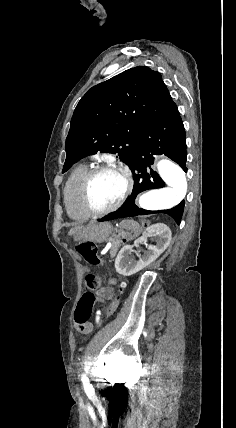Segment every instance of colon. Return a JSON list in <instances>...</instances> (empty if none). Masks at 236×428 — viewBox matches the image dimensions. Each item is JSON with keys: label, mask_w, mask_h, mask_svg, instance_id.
<instances>
[{"label": "colon", "mask_w": 236, "mask_h": 428, "mask_svg": "<svg viewBox=\"0 0 236 428\" xmlns=\"http://www.w3.org/2000/svg\"><path fill=\"white\" fill-rule=\"evenodd\" d=\"M76 248L89 264H102V260L98 256V249L95 243L89 241L80 242L77 244ZM84 286L86 288V292L81 297L74 314L75 326L80 331H84L88 325L96 301L94 292L100 288L101 280L98 277L89 274L84 279ZM118 305L119 297H116L107 309V315H111L117 309Z\"/></svg>", "instance_id": "colon-1"}]
</instances>
